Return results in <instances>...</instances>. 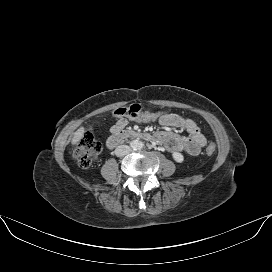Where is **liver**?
<instances>
[{
	"label": "liver",
	"instance_id": "1",
	"mask_svg": "<svg viewBox=\"0 0 272 272\" xmlns=\"http://www.w3.org/2000/svg\"><path fill=\"white\" fill-rule=\"evenodd\" d=\"M84 127H80L75 133H74V136L72 138V141H71V144L72 145H75L77 144L83 137L84 135Z\"/></svg>",
	"mask_w": 272,
	"mask_h": 272
}]
</instances>
